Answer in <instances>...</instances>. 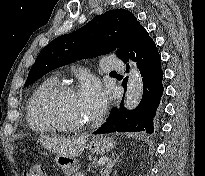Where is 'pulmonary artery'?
Wrapping results in <instances>:
<instances>
[{
    "instance_id": "1",
    "label": "pulmonary artery",
    "mask_w": 205,
    "mask_h": 176,
    "mask_svg": "<svg viewBox=\"0 0 205 176\" xmlns=\"http://www.w3.org/2000/svg\"><path fill=\"white\" fill-rule=\"evenodd\" d=\"M102 71H123L125 65L123 59L116 55H107L101 60Z\"/></svg>"
}]
</instances>
